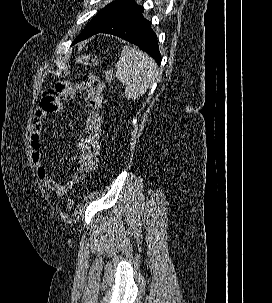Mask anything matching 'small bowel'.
Here are the masks:
<instances>
[{
    "mask_svg": "<svg viewBox=\"0 0 272 303\" xmlns=\"http://www.w3.org/2000/svg\"><path fill=\"white\" fill-rule=\"evenodd\" d=\"M78 94L85 95L89 109L85 111L84 115L83 134L75 142L77 153L65 158L68 161H77V167L67 181L61 182L51 176L44 165L42 124L49 114L64 110L63 101L71 100ZM103 104V84L95 76L86 74L80 83L59 82L44 91L34 111L30 132L32 161L42 185L58 197L68 195L76 184L85 180L96 169L103 124Z\"/></svg>",
    "mask_w": 272,
    "mask_h": 303,
    "instance_id": "c3829d8e",
    "label": "small bowel"
}]
</instances>
